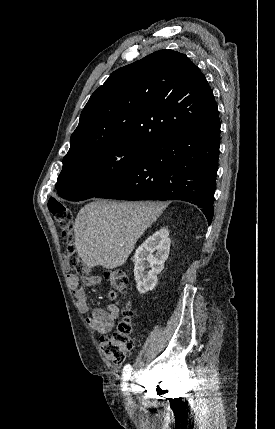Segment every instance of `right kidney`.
I'll list each match as a JSON object with an SVG mask.
<instances>
[{
    "label": "right kidney",
    "mask_w": 275,
    "mask_h": 429,
    "mask_svg": "<svg viewBox=\"0 0 275 429\" xmlns=\"http://www.w3.org/2000/svg\"><path fill=\"white\" fill-rule=\"evenodd\" d=\"M170 238L167 228H161L141 244L133 258L134 276L140 294L154 289L157 284V275L164 268V263L170 251ZM156 251L155 254H153ZM145 269H149L145 271Z\"/></svg>",
    "instance_id": "ca27d5eb"
}]
</instances>
